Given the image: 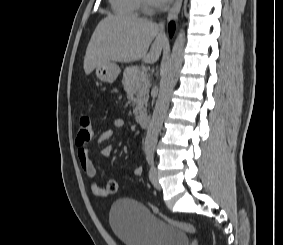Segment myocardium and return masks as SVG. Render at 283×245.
Masks as SVG:
<instances>
[{"instance_id": "1", "label": "myocardium", "mask_w": 283, "mask_h": 245, "mask_svg": "<svg viewBox=\"0 0 283 245\" xmlns=\"http://www.w3.org/2000/svg\"><path fill=\"white\" fill-rule=\"evenodd\" d=\"M143 1L147 6H150V4H151L150 0H143Z\"/></svg>"}]
</instances>
